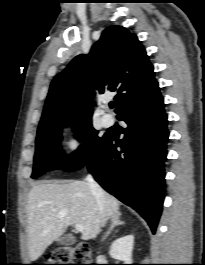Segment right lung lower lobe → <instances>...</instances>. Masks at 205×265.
I'll return each mask as SVG.
<instances>
[{
	"mask_svg": "<svg viewBox=\"0 0 205 265\" xmlns=\"http://www.w3.org/2000/svg\"><path fill=\"white\" fill-rule=\"evenodd\" d=\"M117 118L126 123L122 128L125 137L118 140L108 134L87 168L106 191L134 208L155 233L164 199L163 163L169 136L159 90Z\"/></svg>",
	"mask_w": 205,
	"mask_h": 265,
	"instance_id": "1",
	"label": "right lung lower lobe"
}]
</instances>
